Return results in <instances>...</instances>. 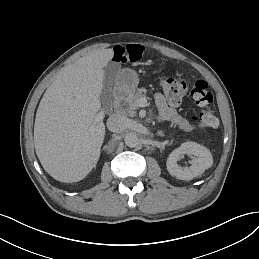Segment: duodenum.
Returning <instances> with one entry per match:
<instances>
[{
	"mask_svg": "<svg viewBox=\"0 0 259 259\" xmlns=\"http://www.w3.org/2000/svg\"><path fill=\"white\" fill-rule=\"evenodd\" d=\"M126 95V90L123 87H118L113 93L112 107L114 110L118 109L122 100Z\"/></svg>",
	"mask_w": 259,
	"mask_h": 259,
	"instance_id": "410a0bca",
	"label": "duodenum"
}]
</instances>
